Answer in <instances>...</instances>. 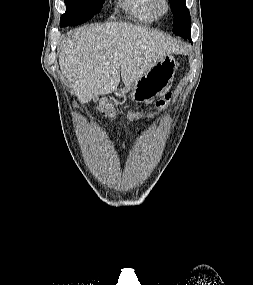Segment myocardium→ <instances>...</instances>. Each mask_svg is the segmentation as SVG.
<instances>
[{"instance_id": "f54148a6", "label": "myocardium", "mask_w": 253, "mask_h": 285, "mask_svg": "<svg viewBox=\"0 0 253 285\" xmlns=\"http://www.w3.org/2000/svg\"><path fill=\"white\" fill-rule=\"evenodd\" d=\"M151 9L156 17H163L170 11L169 0H150Z\"/></svg>"}]
</instances>
